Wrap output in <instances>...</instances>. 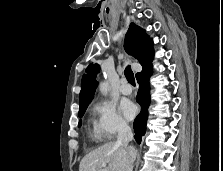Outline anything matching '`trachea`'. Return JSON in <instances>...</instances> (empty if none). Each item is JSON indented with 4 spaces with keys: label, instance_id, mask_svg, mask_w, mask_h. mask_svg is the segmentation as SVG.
Masks as SVG:
<instances>
[{
    "label": "trachea",
    "instance_id": "obj_1",
    "mask_svg": "<svg viewBox=\"0 0 223 171\" xmlns=\"http://www.w3.org/2000/svg\"><path fill=\"white\" fill-rule=\"evenodd\" d=\"M124 74L130 84H135L134 74L130 66L125 68Z\"/></svg>",
    "mask_w": 223,
    "mask_h": 171
}]
</instances>
